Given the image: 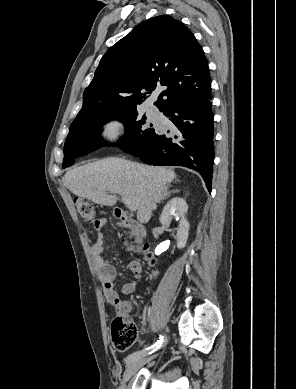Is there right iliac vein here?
Returning a JSON list of instances; mask_svg holds the SVG:
<instances>
[{"label": "right iliac vein", "mask_w": 296, "mask_h": 389, "mask_svg": "<svg viewBox=\"0 0 296 389\" xmlns=\"http://www.w3.org/2000/svg\"><path fill=\"white\" fill-rule=\"evenodd\" d=\"M151 359H152V357H150V358L140 357V358H137L136 360H134L133 362L129 363L124 374H123V380H122L123 383H126L135 374V372H137V370L141 366L146 364Z\"/></svg>", "instance_id": "63e3f726"}]
</instances>
